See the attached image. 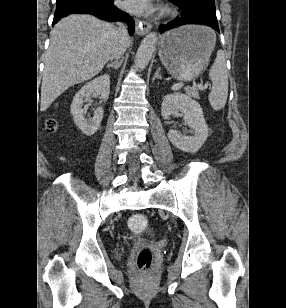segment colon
<instances>
[{
	"label": "colon",
	"instance_id": "colon-1",
	"mask_svg": "<svg viewBox=\"0 0 286 308\" xmlns=\"http://www.w3.org/2000/svg\"><path fill=\"white\" fill-rule=\"evenodd\" d=\"M48 132H54L57 129V123L49 119L45 123ZM129 227L135 232H144L148 228V219L145 215L135 214L128 222ZM153 256L150 250L142 249L139 251L136 259V266L141 273H147L152 265Z\"/></svg>",
	"mask_w": 286,
	"mask_h": 308
}]
</instances>
